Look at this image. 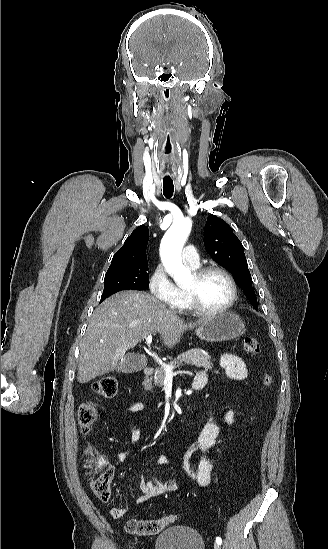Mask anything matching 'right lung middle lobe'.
<instances>
[{"instance_id": "dd1d6c3e", "label": "right lung middle lobe", "mask_w": 328, "mask_h": 549, "mask_svg": "<svg viewBox=\"0 0 328 549\" xmlns=\"http://www.w3.org/2000/svg\"><path fill=\"white\" fill-rule=\"evenodd\" d=\"M147 271V261H138L120 268L108 270L104 279V290L101 301L121 290L146 289L149 287Z\"/></svg>"}]
</instances>
